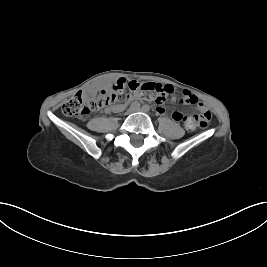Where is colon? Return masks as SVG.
I'll use <instances>...</instances> for the list:
<instances>
[{"mask_svg":"<svg viewBox=\"0 0 267 267\" xmlns=\"http://www.w3.org/2000/svg\"><path fill=\"white\" fill-rule=\"evenodd\" d=\"M172 94V87L168 84L156 82L138 81H118L109 89H101L94 97L88 98L83 93H76L62 104V112L70 117L85 118L90 113L114 104L121 100H129L134 96L154 102L158 105L163 104ZM180 101L185 104L194 105L197 113L189 116V120L196 126L205 128L211 121L209 110L201 107L196 96L183 92ZM179 119L180 115H175Z\"/></svg>","mask_w":267,"mask_h":267,"instance_id":"colon-1","label":"colon"}]
</instances>
